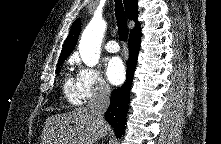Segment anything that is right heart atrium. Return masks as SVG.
<instances>
[{
    "label": "right heart atrium",
    "mask_w": 221,
    "mask_h": 144,
    "mask_svg": "<svg viewBox=\"0 0 221 144\" xmlns=\"http://www.w3.org/2000/svg\"><path fill=\"white\" fill-rule=\"evenodd\" d=\"M76 86L79 98L83 102L107 97L111 91L104 77L93 67H79Z\"/></svg>",
    "instance_id": "d8ad5b80"
}]
</instances>
